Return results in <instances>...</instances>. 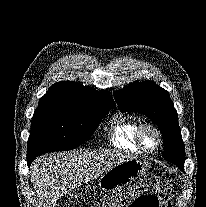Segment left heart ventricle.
<instances>
[{
  "label": "left heart ventricle",
  "mask_w": 206,
  "mask_h": 207,
  "mask_svg": "<svg viewBox=\"0 0 206 207\" xmlns=\"http://www.w3.org/2000/svg\"><path fill=\"white\" fill-rule=\"evenodd\" d=\"M143 140L147 147L152 148L157 142V137L152 130L146 129L143 133Z\"/></svg>",
  "instance_id": "1"
}]
</instances>
